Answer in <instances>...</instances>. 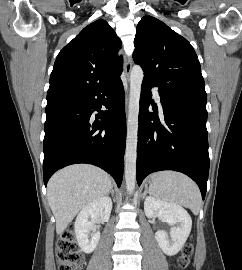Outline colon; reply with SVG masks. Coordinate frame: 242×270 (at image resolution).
<instances>
[{
    "label": "colon",
    "mask_w": 242,
    "mask_h": 270,
    "mask_svg": "<svg viewBox=\"0 0 242 270\" xmlns=\"http://www.w3.org/2000/svg\"><path fill=\"white\" fill-rule=\"evenodd\" d=\"M193 254V246L188 243L182 249L179 266L185 269ZM58 270H76L83 262V255L77 247L73 228L66 229L57 241Z\"/></svg>",
    "instance_id": "colon-1"
}]
</instances>
